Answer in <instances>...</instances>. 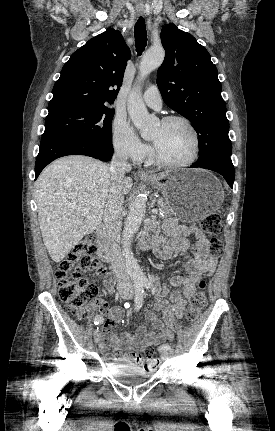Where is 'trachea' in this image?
I'll use <instances>...</instances> for the list:
<instances>
[{
    "label": "trachea",
    "mask_w": 275,
    "mask_h": 431,
    "mask_svg": "<svg viewBox=\"0 0 275 431\" xmlns=\"http://www.w3.org/2000/svg\"><path fill=\"white\" fill-rule=\"evenodd\" d=\"M135 47L138 55H141L147 45V31L143 17H139L134 27Z\"/></svg>",
    "instance_id": "obj_1"
}]
</instances>
